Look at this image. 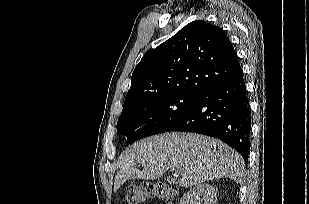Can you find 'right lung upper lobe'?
<instances>
[{
	"mask_svg": "<svg viewBox=\"0 0 309 204\" xmlns=\"http://www.w3.org/2000/svg\"><path fill=\"white\" fill-rule=\"evenodd\" d=\"M241 69L226 33L205 21H193L150 49L136 66L125 104L159 95H201Z\"/></svg>",
	"mask_w": 309,
	"mask_h": 204,
	"instance_id": "1",
	"label": "right lung upper lobe"
}]
</instances>
